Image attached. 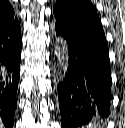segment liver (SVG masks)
I'll use <instances>...</instances> for the list:
<instances>
[{
    "label": "liver",
    "mask_w": 125,
    "mask_h": 128,
    "mask_svg": "<svg viewBox=\"0 0 125 128\" xmlns=\"http://www.w3.org/2000/svg\"><path fill=\"white\" fill-rule=\"evenodd\" d=\"M0 128H3V125H2V123H1V121H0Z\"/></svg>",
    "instance_id": "liver-1"
}]
</instances>
